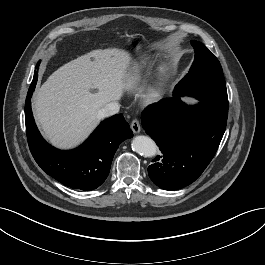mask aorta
Here are the masks:
<instances>
[{"instance_id":"obj_1","label":"aorta","mask_w":265,"mask_h":265,"mask_svg":"<svg viewBox=\"0 0 265 265\" xmlns=\"http://www.w3.org/2000/svg\"><path fill=\"white\" fill-rule=\"evenodd\" d=\"M132 149L144 157H153L156 155L157 146L156 143L147 136H136L132 140Z\"/></svg>"}]
</instances>
